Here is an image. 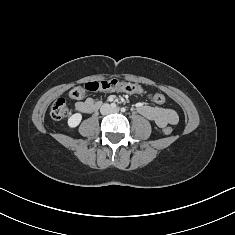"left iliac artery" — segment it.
<instances>
[{"label": "left iliac artery", "instance_id": "left-iliac-artery-1", "mask_svg": "<svg viewBox=\"0 0 235 235\" xmlns=\"http://www.w3.org/2000/svg\"><path fill=\"white\" fill-rule=\"evenodd\" d=\"M121 111H122V112H125V111H126V109H125V108H121Z\"/></svg>", "mask_w": 235, "mask_h": 235}]
</instances>
